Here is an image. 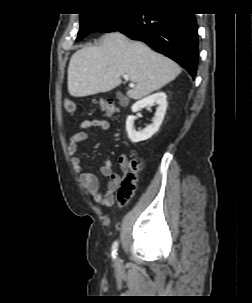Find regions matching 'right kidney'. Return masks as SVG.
Listing matches in <instances>:
<instances>
[{"label":"right kidney","instance_id":"right-kidney-1","mask_svg":"<svg viewBox=\"0 0 252 303\" xmlns=\"http://www.w3.org/2000/svg\"><path fill=\"white\" fill-rule=\"evenodd\" d=\"M157 104V110L152 120V124L144 128L142 131H136L134 128L135 116L131 115L126 120V130L129 139L133 143L141 142L151 138L160 128L167 109V95L164 92L152 94L142 100L137 101L132 106V111L135 113L147 106Z\"/></svg>","mask_w":252,"mask_h":303}]
</instances>
